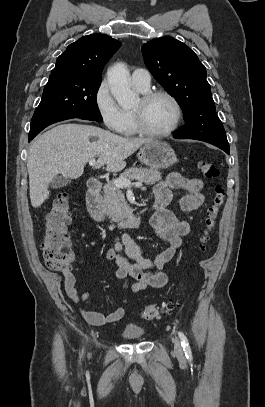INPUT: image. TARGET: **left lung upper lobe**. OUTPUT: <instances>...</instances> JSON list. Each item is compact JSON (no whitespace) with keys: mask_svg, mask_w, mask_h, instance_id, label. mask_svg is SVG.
I'll return each instance as SVG.
<instances>
[{"mask_svg":"<svg viewBox=\"0 0 265 407\" xmlns=\"http://www.w3.org/2000/svg\"><path fill=\"white\" fill-rule=\"evenodd\" d=\"M142 54L153 77L183 110L185 125L174 138L229 148L206 80V68L195 52L172 37H162L144 44Z\"/></svg>","mask_w":265,"mask_h":407,"instance_id":"obj_1","label":"left lung upper lobe"}]
</instances>
